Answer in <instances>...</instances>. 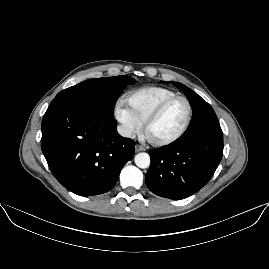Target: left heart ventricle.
Listing matches in <instances>:
<instances>
[{
    "instance_id": "left-heart-ventricle-1",
    "label": "left heart ventricle",
    "mask_w": 269,
    "mask_h": 269,
    "mask_svg": "<svg viewBox=\"0 0 269 269\" xmlns=\"http://www.w3.org/2000/svg\"><path fill=\"white\" fill-rule=\"evenodd\" d=\"M186 116V103L182 100L176 101L151 125L148 136L157 142L172 138L183 127Z\"/></svg>"
}]
</instances>
